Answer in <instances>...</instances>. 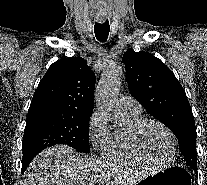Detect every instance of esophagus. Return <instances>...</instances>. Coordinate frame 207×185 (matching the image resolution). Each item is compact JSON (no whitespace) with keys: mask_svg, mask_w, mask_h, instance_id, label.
<instances>
[{"mask_svg":"<svg viewBox=\"0 0 207 185\" xmlns=\"http://www.w3.org/2000/svg\"><path fill=\"white\" fill-rule=\"evenodd\" d=\"M99 13H102V10H99ZM99 19H102V16H99Z\"/></svg>","mask_w":207,"mask_h":185,"instance_id":"1","label":"esophagus"}]
</instances>
